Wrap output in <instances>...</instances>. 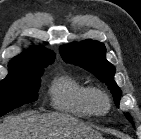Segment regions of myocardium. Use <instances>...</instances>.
Returning <instances> with one entry per match:
<instances>
[{
	"label": "myocardium",
	"instance_id": "f54148a6",
	"mask_svg": "<svg viewBox=\"0 0 141 139\" xmlns=\"http://www.w3.org/2000/svg\"><path fill=\"white\" fill-rule=\"evenodd\" d=\"M88 103L95 115H105L110 109V97L102 89L92 87L88 92Z\"/></svg>",
	"mask_w": 141,
	"mask_h": 139
}]
</instances>
